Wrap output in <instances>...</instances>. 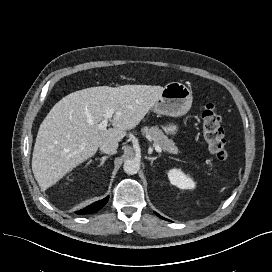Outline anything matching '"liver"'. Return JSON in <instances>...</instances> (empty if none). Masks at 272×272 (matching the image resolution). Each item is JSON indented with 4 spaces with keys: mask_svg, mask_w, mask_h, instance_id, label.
Segmentation results:
<instances>
[{
    "mask_svg": "<svg viewBox=\"0 0 272 272\" xmlns=\"http://www.w3.org/2000/svg\"><path fill=\"white\" fill-rule=\"evenodd\" d=\"M164 88L151 85L98 86L70 93L57 102L40 125L32 171L46 190L94 156L106 143L120 142L155 105ZM113 128L100 130L106 109Z\"/></svg>",
    "mask_w": 272,
    "mask_h": 272,
    "instance_id": "liver-1",
    "label": "liver"
}]
</instances>
